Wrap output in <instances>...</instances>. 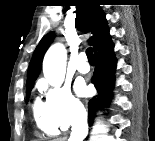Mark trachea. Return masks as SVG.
<instances>
[{
    "label": "trachea",
    "instance_id": "1",
    "mask_svg": "<svg viewBox=\"0 0 155 141\" xmlns=\"http://www.w3.org/2000/svg\"><path fill=\"white\" fill-rule=\"evenodd\" d=\"M86 55H87L88 61H89L90 63H94V62H95L93 50H92L91 47H89V48L86 50Z\"/></svg>",
    "mask_w": 155,
    "mask_h": 141
}]
</instances>
